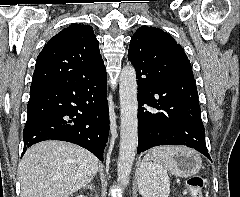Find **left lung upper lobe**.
Wrapping results in <instances>:
<instances>
[{"label":"left lung upper lobe","instance_id":"1","mask_svg":"<svg viewBox=\"0 0 240 197\" xmlns=\"http://www.w3.org/2000/svg\"><path fill=\"white\" fill-rule=\"evenodd\" d=\"M128 59L136 72L150 74L169 85L195 83L190 61L182 47L159 28L142 26L132 36Z\"/></svg>","mask_w":240,"mask_h":197}]
</instances>
